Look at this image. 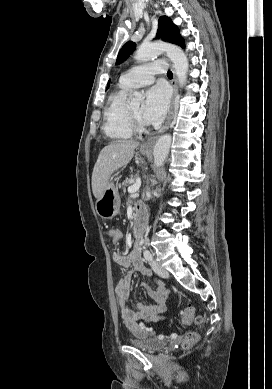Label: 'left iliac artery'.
<instances>
[{
    "mask_svg": "<svg viewBox=\"0 0 272 389\" xmlns=\"http://www.w3.org/2000/svg\"><path fill=\"white\" fill-rule=\"evenodd\" d=\"M144 258L147 260V261H151L152 260V254L149 250H145L144 251Z\"/></svg>",
    "mask_w": 272,
    "mask_h": 389,
    "instance_id": "1",
    "label": "left iliac artery"
}]
</instances>
